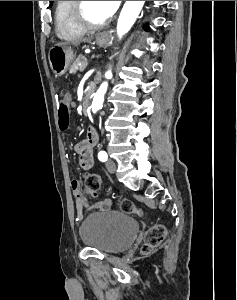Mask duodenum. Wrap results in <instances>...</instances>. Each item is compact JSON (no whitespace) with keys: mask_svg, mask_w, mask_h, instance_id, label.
<instances>
[{"mask_svg":"<svg viewBox=\"0 0 237 300\" xmlns=\"http://www.w3.org/2000/svg\"><path fill=\"white\" fill-rule=\"evenodd\" d=\"M90 100H91V90H87L81 103V109L83 114H87L90 107Z\"/></svg>","mask_w":237,"mask_h":300,"instance_id":"1","label":"duodenum"}]
</instances>
